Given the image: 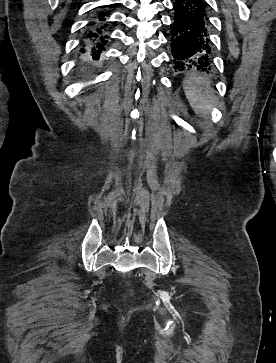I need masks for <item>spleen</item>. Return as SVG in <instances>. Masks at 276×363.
Instances as JSON below:
<instances>
[{
  "label": "spleen",
  "mask_w": 276,
  "mask_h": 363,
  "mask_svg": "<svg viewBox=\"0 0 276 363\" xmlns=\"http://www.w3.org/2000/svg\"><path fill=\"white\" fill-rule=\"evenodd\" d=\"M205 76L191 73L183 82V88L190 106L201 118H208L210 108L215 105V96Z\"/></svg>",
  "instance_id": "1"
}]
</instances>
